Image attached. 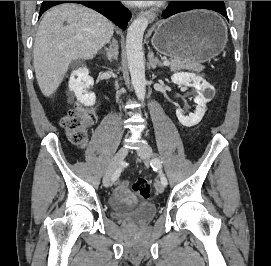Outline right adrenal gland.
Here are the masks:
<instances>
[{"label":"right adrenal gland","instance_id":"obj_1","mask_svg":"<svg viewBox=\"0 0 271 266\" xmlns=\"http://www.w3.org/2000/svg\"><path fill=\"white\" fill-rule=\"evenodd\" d=\"M106 56L109 62L118 59V43L115 38H112V42L109 48H105Z\"/></svg>","mask_w":271,"mask_h":266}]
</instances>
